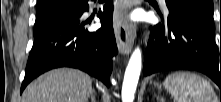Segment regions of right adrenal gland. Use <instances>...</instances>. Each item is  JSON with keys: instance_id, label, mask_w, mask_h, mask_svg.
I'll use <instances>...</instances> for the list:
<instances>
[{"instance_id": "2a0ac1e0", "label": "right adrenal gland", "mask_w": 221, "mask_h": 102, "mask_svg": "<svg viewBox=\"0 0 221 102\" xmlns=\"http://www.w3.org/2000/svg\"><path fill=\"white\" fill-rule=\"evenodd\" d=\"M90 102H96L94 90H92L90 93Z\"/></svg>"}]
</instances>
